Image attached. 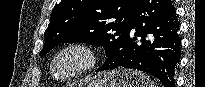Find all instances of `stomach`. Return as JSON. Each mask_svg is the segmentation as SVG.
<instances>
[{"mask_svg":"<svg viewBox=\"0 0 205 87\" xmlns=\"http://www.w3.org/2000/svg\"><path fill=\"white\" fill-rule=\"evenodd\" d=\"M143 72L128 69L102 71L75 84L74 87H151ZM73 87V86H70Z\"/></svg>","mask_w":205,"mask_h":87,"instance_id":"obj_1","label":"stomach"}]
</instances>
